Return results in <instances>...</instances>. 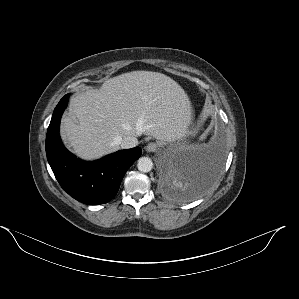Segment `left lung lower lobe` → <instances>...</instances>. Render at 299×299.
Masks as SVG:
<instances>
[{
	"instance_id": "obj_1",
	"label": "left lung lower lobe",
	"mask_w": 299,
	"mask_h": 299,
	"mask_svg": "<svg viewBox=\"0 0 299 299\" xmlns=\"http://www.w3.org/2000/svg\"><path fill=\"white\" fill-rule=\"evenodd\" d=\"M225 157V146L216 142L200 152L166 161L162 168V190L170 197L200 194L216 181Z\"/></svg>"
}]
</instances>
